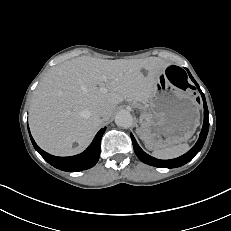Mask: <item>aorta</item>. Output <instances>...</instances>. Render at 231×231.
Returning a JSON list of instances; mask_svg holds the SVG:
<instances>
[{
  "label": "aorta",
  "mask_w": 231,
  "mask_h": 231,
  "mask_svg": "<svg viewBox=\"0 0 231 231\" xmlns=\"http://www.w3.org/2000/svg\"><path fill=\"white\" fill-rule=\"evenodd\" d=\"M115 123L122 128H129L133 124L132 115L127 111H120L115 116Z\"/></svg>",
  "instance_id": "1"
}]
</instances>
